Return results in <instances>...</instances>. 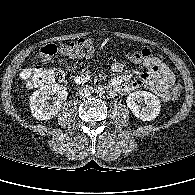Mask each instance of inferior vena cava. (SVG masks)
I'll return each instance as SVG.
<instances>
[{"label": "inferior vena cava", "mask_w": 195, "mask_h": 195, "mask_svg": "<svg viewBox=\"0 0 195 195\" xmlns=\"http://www.w3.org/2000/svg\"><path fill=\"white\" fill-rule=\"evenodd\" d=\"M93 93V87L92 86H84L79 90V95L82 98L90 97Z\"/></svg>", "instance_id": "1"}]
</instances>
